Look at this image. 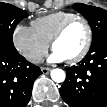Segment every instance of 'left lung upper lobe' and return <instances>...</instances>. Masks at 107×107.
<instances>
[{"mask_svg":"<svg viewBox=\"0 0 107 107\" xmlns=\"http://www.w3.org/2000/svg\"><path fill=\"white\" fill-rule=\"evenodd\" d=\"M72 7L88 20L93 32L92 44L98 40L107 38L106 10L82 3H75Z\"/></svg>","mask_w":107,"mask_h":107,"instance_id":"1","label":"left lung upper lobe"}]
</instances>
